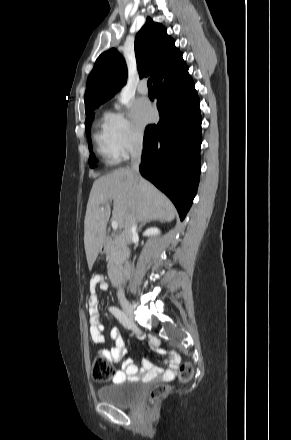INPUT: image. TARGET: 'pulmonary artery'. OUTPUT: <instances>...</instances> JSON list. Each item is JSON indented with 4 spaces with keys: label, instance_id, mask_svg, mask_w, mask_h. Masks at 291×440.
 I'll return each instance as SVG.
<instances>
[{
    "label": "pulmonary artery",
    "instance_id": "pulmonary-artery-1",
    "mask_svg": "<svg viewBox=\"0 0 291 440\" xmlns=\"http://www.w3.org/2000/svg\"><path fill=\"white\" fill-rule=\"evenodd\" d=\"M138 92L142 95H147L148 87H147L146 82H144V81L140 82V84L138 85Z\"/></svg>",
    "mask_w": 291,
    "mask_h": 440
}]
</instances>
